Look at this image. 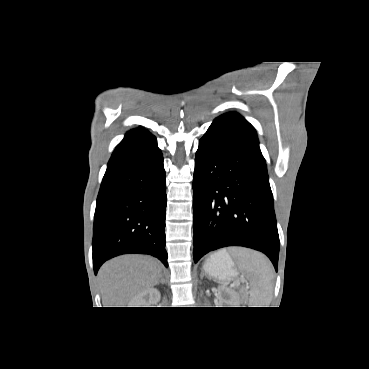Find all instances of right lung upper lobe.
I'll return each instance as SVG.
<instances>
[{"instance_id": "cb5924a9", "label": "right lung upper lobe", "mask_w": 369, "mask_h": 369, "mask_svg": "<svg viewBox=\"0 0 369 369\" xmlns=\"http://www.w3.org/2000/svg\"><path fill=\"white\" fill-rule=\"evenodd\" d=\"M140 130H142V129H141V128L133 129V130L129 131L128 133L137 132V131H140ZM128 133H127V134H128Z\"/></svg>"}]
</instances>
